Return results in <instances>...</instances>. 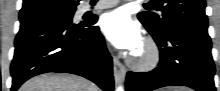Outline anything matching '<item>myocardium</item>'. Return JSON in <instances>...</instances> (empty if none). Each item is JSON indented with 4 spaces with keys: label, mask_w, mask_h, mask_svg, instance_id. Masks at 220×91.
I'll return each instance as SVG.
<instances>
[{
    "label": "myocardium",
    "mask_w": 220,
    "mask_h": 91,
    "mask_svg": "<svg viewBox=\"0 0 220 91\" xmlns=\"http://www.w3.org/2000/svg\"><path fill=\"white\" fill-rule=\"evenodd\" d=\"M140 54L135 53L130 58L132 67L139 71H149L157 66L160 60V50L152 38H147L142 46Z\"/></svg>",
    "instance_id": "1"
}]
</instances>
